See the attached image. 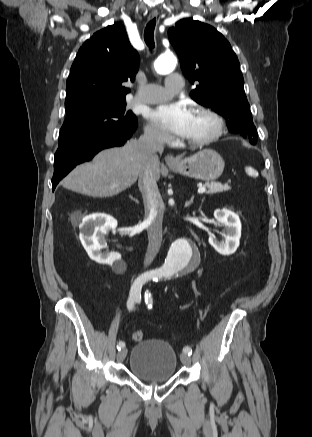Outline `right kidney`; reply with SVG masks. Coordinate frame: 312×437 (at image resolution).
<instances>
[{
  "label": "right kidney",
  "mask_w": 312,
  "mask_h": 437,
  "mask_svg": "<svg viewBox=\"0 0 312 437\" xmlns=\"http://www.w3.org/2000/svg\"><path fill=\"white\" fill-rule=\"evenodd\" d=\"M117 220L112 216L102 213L92 214L83 218L80 224V240L88 256L99 264H108L114 269L125 267V262L113 254L103 253L101 250L107 246L105 234L108 230L114 231Z\"/></svg>",
  "instance_id": "1"
}]
</instances>
